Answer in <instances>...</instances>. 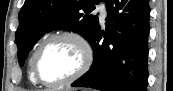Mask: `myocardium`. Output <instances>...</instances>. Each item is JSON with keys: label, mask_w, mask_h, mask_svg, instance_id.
<instances>
[{"label": "myocardium", "mask_w": 173, "mask_h": 91, "mask_svg": "<svg viewBox=\"0 0 173 91\" xmlns=\"http://www.w3.org/2000/svg\"><path fill=\"white\" fill-rule=\"evenodd\" d=\"M59 39H67L74 42L78 46L81 52L82 61L79 68L69 77L59 82H46L40 77V74L38 71L39 59L43 50L51 42L55 40H59ZM93 59H94V50H93L92 44L83 34L76 31H62V32H58V33H54L50 35L45 40H43L40 43V45L37 47L33 56V60H32V73L36 82L46 87H51V88L63 87L79 79L81 76H83L90 69L93 63Z\"/></svg>", "instance_id": "myocardium-1"}]
</instances>
